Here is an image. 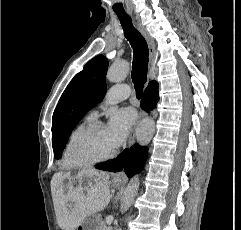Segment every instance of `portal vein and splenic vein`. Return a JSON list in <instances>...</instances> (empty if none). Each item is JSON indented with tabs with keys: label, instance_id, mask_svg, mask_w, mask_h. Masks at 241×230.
<instances>
[{
	"label": "portal vein and splenic vein",
	"instance_id": "portal-vein-and-splenic-vein-1",
	"mask_svg": "<svg viewBox=\"0 0 241 230\" xmlns=\"http://www.w3.org/2000/svg\"><path fill=\"white\" fill-rule=\"evenodd\" d=\"M112 221H113V217H112V216L107 217L106 223H107L108 225H110V224L112 223Z\"/></svg>",
	"mask_w": 241,
	"mask_h": 230
}]
</instances>
